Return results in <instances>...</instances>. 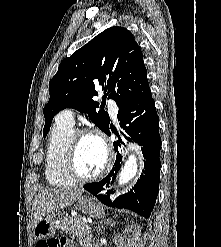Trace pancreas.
I'll return each mask as SVG.
<instances>
[{
	"mask_svg": "<svg viewBox=\"0 0 221 247\" xmlns=\"http://www.w3.org/2000/svg\"><path fill=\"white\" fill-rule=\"evenodd\" d=\"M61 229L76 237L82 247H90L91 230L81 216L68 217L61 221Z\"/></svg>",
	"mask_w": 221,
	"mask_h": 247,
	"instance_id": "obj_1",
	"label": "pancreas"
}]
</instances>
